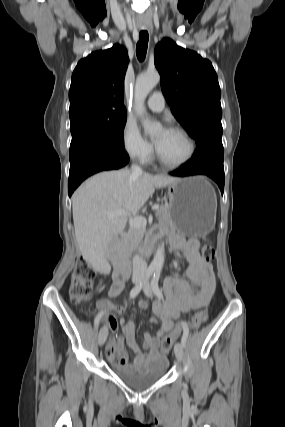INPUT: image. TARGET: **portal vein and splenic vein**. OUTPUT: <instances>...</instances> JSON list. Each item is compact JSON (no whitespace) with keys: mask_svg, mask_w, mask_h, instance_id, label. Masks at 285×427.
Here are the masks:
<instances>
[{"mask_svg":"<svg viewBox=\"0 0 285 427\" xmlns=\"http://www.w3.org/2000/svg\"><path fill=\"white\" fill-rule=\"evenodd\" d=\"M159 209V205L155 204L152 207V210H158ZM125 214L124 210H115V211H110L107 213V216L109 217H115V216H123ZM129 223L130 226L132 227H145L147 224V220L145 217L142 216H136V213L130 214L129 215Z\"/></svg>","mask_w":285,"mask_h":427,"instance_id":"1","label":"portal vein and splenic vein"}]
</instances>
